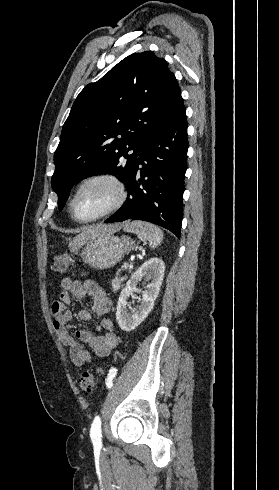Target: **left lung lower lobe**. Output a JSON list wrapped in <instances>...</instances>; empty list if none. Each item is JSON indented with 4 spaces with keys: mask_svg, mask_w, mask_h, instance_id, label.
I'll list each match as a JSON object with an SVG mask.
<instances>
[{
    "mask_svg": "<svg viewBox=\"0 0 279 490\" xmlns=\"http://www.w3.org/2000/svg\"><path fill=\"white\" fill-rule=\"evenodd\" d=\"M187 150L186 111L180 100L152 129L126 186V202L105 223L143 220L180 238Z\"/></svg>",
    "mask_w": 279,
    "mask_h": 490,
    "instance_id": "1",
    "label": "left lung lower lobe"
}]
</instances>
